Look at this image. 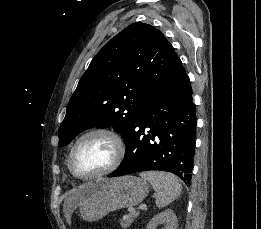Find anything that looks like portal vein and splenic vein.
<instances>
[{
    "instance_id": "portal-vein-and-splenic-vein-1",
    "label": "portal vein and splenic vein",
    "mask_w": 261,
    "mask_h": 229,
    "mask_svg": "<svg viewBox=\"0 0 261 229\" xmlns=\"http://www.w3.org/2000/svg\"><path fill=\"white\" fill-rule=\"evenodd\" d=\"M140 207H141V209L144 210V212H147V206H146L145 203H141V204H140ZM132 213H133V214H138V213H139V210H138V209H133V210H132ZM123 219H128L127 215H125V217H123Z\"/></svg>"
}]
</instances>
